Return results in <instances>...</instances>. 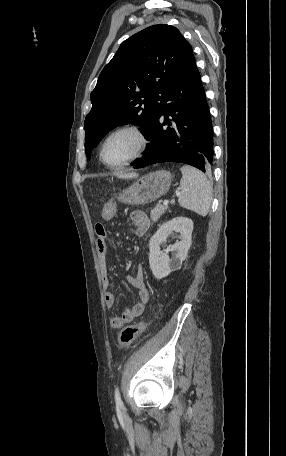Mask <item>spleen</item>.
Listing matches in <instances>:
<instances>
[{
  "mask_svg": "<svg viewBox=\"0 0 286 456\" xmlns=\"http://www.w3.org/2000/svg\"><path fill=\"white\" fill-rule=\"evenodd\" d=\"M182 191L178 197L180 206L195 213L206 216L212 201V187L207 177L191 166L181 168Z\"/></svg>",
  "mask_w": 286,
  "mask_h": 456,
  "instance_id": "obj_1",
  "label": "spleen"
}]
</instances>
